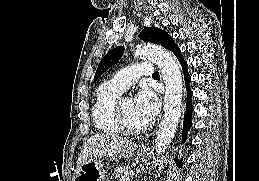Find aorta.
Instances as JSON below:
<instances>
[{
  "mask_svg": "<svg viewBox=\"0 0 259 181\" xmlns=\"http://www.w3.org/2000/svg\"><path fill=\"white\" fill-rule=\"evenodd\" d=\"M134 55L154 61L159 66L166 85L164 116L155 139L156 153L160 154L170 145L181 116L183 91L181 71L171 53L159 46L139 45Z\"/></svg>",
  "mask_w": 259,
  "mask_h": 181,
  "instance_id": "762f6f07",
  "label": "aorta"
}]
</instances>
